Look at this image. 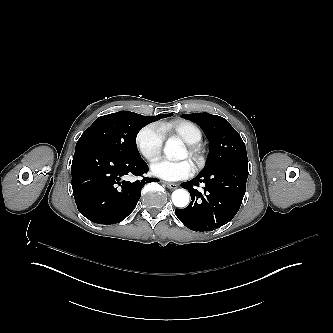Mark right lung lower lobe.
Instances as JSON below:
<instances>
[{"instance_id":"obj_1","label":"right lung lower lobe","mask_w":333,"mask_h":333,"mask_svg":"<svg viewBox=\"0 0 333 333\" xmlns=\"http://www.w3.org/2000/svg\"><path fill=\"white\" fill-rule=\"evenodd\" d=\"M146 162L117 156L92 143L76 145L71 173L72 189L79 212L98 224L124 220L136 207L142 187L156 178L125 181L127 175L147 173Z\"/></svg>"}]
</instances>
